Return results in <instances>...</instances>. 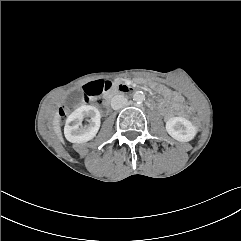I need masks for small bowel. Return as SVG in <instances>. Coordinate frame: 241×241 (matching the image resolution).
I'll list each match as a JSON object with an SVG mask.
<instances>
[{
	"label": "small bowel",
	"mask_w": 241,
	"mask_h": 241,
	"mask_svg": "<svg viewBox=\"0 0 241 241\" xmlns=\"http://www.w3.org/2000/svg\"><path fill=\"white\" fill-rule=\"evenodd\" d=\"M182 98L178 95L170 96V101L164 106V112L166 115H172L178 112L181 108Z\"/></svg>",
	"instance_id": "1"
}]
</instances>
